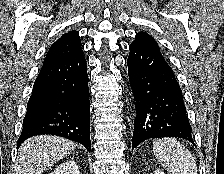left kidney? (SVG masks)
I'll return each instance as SVG.
<instances>
[{"instance_id": "1", "label": "left kidney", "mask_w": 224, "mask_h": 174, "mask_svg": "<svg viewBox=\"0 0 224 174\" xmlns=\"http://www.w3.org/2000/svg\"><path fill=\"white\" fill-rule=\"evenodd\" d=\"M154 174H165L163 171H160V170H156L155 172H154Z\"/></svg>"}]
</instances>
